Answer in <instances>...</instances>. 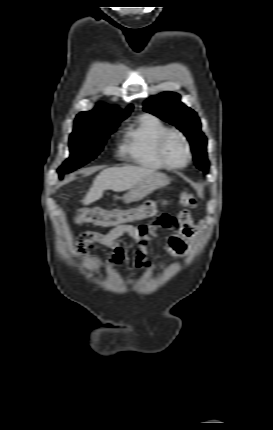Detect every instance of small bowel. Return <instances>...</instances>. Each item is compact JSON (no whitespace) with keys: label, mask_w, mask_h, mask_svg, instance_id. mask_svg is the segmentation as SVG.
I'll return each instance as SVG.
<instances>
[{"label":"small bowel","mask_w":273,"mask_h":430,"mask_svg":"<svg viewBox=\"0 0 273 430\" xmlns=\"http://www.w3.org/2000/svg\"><path fill=\"white\" fill-rule=\"evenodd\" d=\"M165 220H162L161 217ZM160 218L134 227L132 225H117L106 233H85L79 239V245L90 248L95 244L103 245L112 250L113 255L108 266L119 265L125 259V251L118 243L123 235H129L136 243V267L143 270L149 267L151 248L150 244L159 241L158 231L162 228L171 230L164 248L167 253L180 259L186 251L187 242L196 235V228L188 211H182L177 217L162 215ZM88 254H82L84 261Z\"/></svg>","instance_id":"small-bowel-1"}]
</instances>
